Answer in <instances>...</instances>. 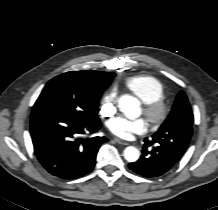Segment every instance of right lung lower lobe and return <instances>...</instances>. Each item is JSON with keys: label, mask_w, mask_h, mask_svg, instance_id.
Wrapping results in <instances>:
<instances>
[{"label": "right lung lower lobe", "mask_w": 218, "mask_h": 210, "mask_svg": "<svg viewBox=\"0 0 218 210\" xmlns=\"http://www.w3.org/2000/svg\"><path fill=\"white\" fill-rule=\"evenodd\" d=\"M100 128L99 120L85 121L55 110L33 111L30 119L38 161L50 174L61 179H76L94 168L98 149L106 138L82 139L80 136Z\"/></svg>", "instance_id": "98d812e1"}]
</instances>
